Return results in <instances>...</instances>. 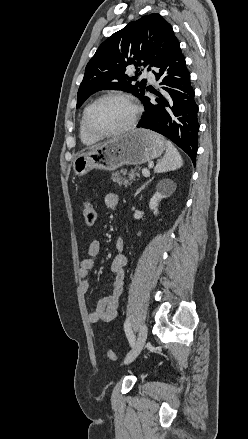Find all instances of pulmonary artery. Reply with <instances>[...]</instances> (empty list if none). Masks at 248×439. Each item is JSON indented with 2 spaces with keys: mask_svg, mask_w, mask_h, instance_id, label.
Returning <instances> with one entry per match:
<instances>
[{
  "mask_svg": "<svg viewBox=\"0 0 248 439\" xmlns=\"http://www.w3.org/2000/svg\"><path fill=\"white\" fill-rule=\"evenodd\" d=\"M143 77L148 78L151 82H154L155 77L153 75V73L149 72V71H144L143 72Z\"/></svg>",
  "mask_w": 248,
  "mask_h": 439,
  "instance_id": "e3ab8cb5",
  "label": "pulmonary artery"
}]
</instances>
